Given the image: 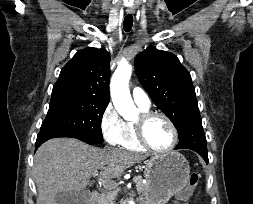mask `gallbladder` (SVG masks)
<instances>
[{
  "label": "gallbladder",
  "mask_w": 253,
  "mask_h": 204,
  "mask_svg": "<svg viewBox=\"0 0 253 204\" xmlns=\"http://www.w3.org/2000/svg\"><path fill=\"white\" fill-rule=\"evenodd\" d=\"M90 197V192L83 190L80 192H60L56 194L55 201L56 204H85Z\"/></svg>",
  "instance_id": "1"
}]
</instances>
